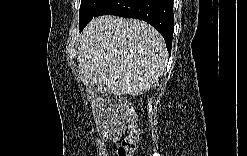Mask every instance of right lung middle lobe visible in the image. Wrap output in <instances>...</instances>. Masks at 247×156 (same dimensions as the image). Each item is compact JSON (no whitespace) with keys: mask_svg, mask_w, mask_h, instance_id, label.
I'll return each mask as SVG.
<instances>
[{"mask_svg":"<svg viewBox=\"0 0 247 156\" xmlns=\"http://www.w3.org/2000/svg\"><path fill=\"white\" fill-rule=\"evenodd\" d=\"M108 0H81L79 27L80 31L96 17Z\"/></svg>","mask_w":247,"mask_h":156,"instance_id":"1","label":"right lung middle lobe"}]
</instances>
